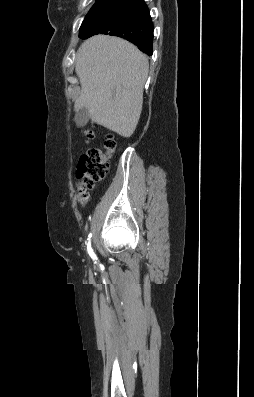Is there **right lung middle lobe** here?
<instances>
[{
	"label": "right lung middle lobe",
	"instance_id": "right-lung-middle-lobe-1",
	"mask_svg": "<svg viewBox=\"0 0 254 397\" xmlns=\"http://www.w3.org/2000/svg\"><path fill=\"white\" fill-rule=\"evenodd\" d=\"M105 1L106 0H97L94 6L90 9L89 13L86 15L81 27H83L99 11Z\"/></svg>",
	"mask_w": 254,
	"mask_h": 397
}]
</instances>
